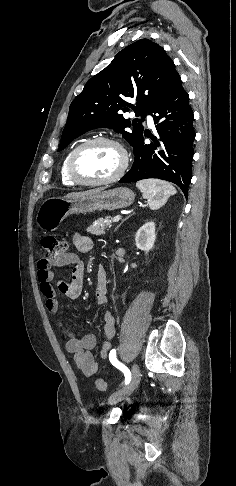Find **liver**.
<instances>
[{
  "label": "liver",
  "instance_id": "liver-1",
  "mask_svg": "<svg viewBox=\"0 0 236 486\" xmlns=\"http://www.w3.org/2000/svg\"><path fill=\"white\" fill-rule=\"evenodd\" d=\"M99 191H101V190L100 189H92V190H88V191H84V192H73V193L67 194L65 196V198L78 197V196H82V195L96 193V192H99Z\"/></svg>",
  "mask_w": 236,
  "mask_h": 486
}]
</instances>
